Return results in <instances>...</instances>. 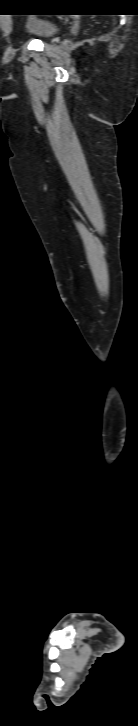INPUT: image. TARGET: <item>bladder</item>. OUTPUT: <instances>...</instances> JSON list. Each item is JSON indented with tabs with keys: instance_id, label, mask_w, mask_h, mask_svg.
Returning <instances> with one entry per match:
<instances>
[{
	"instance_id": "1",
	"label": "bladder",
	"mask_w": 138,
	"mask_h": 726,
	"mask_svg": "<svg viewBox=\"0 0 138 726\" xmlns=\"http://www.w3.org/2000/svg\"><path fill=\"white\" fill-rule=\"evenodd\" d=\"M61 30V23L50 18L43 17L30 19L24 27L26 34L39 39L52 38L58 35Z\"/></svg>"
}]
</instances>
